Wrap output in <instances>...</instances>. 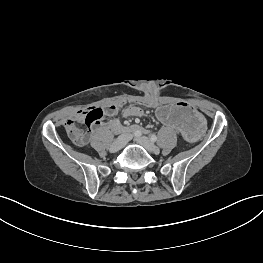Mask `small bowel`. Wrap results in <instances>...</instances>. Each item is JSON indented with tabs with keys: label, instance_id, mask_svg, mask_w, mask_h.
<instances>
[{
	"label": "small bowel",
	"instance_id": "small-bowel-1",
	"mask_svg": "<svg viewBox=\"0 0 263 263\" xmlns=\"http://www.w3.org/2000/svg\"><path fill=\"white\" fill-rule=\"evenodd\" d=\"M120 111V106L116 108V110L111 114L112 116L116 115L118 112ZM122 114L123 116L125 117H141L143 116L144 114V111L138 107V106H135V105H129L125 108H123L122 110ZM83 115V111L81 112H78L77 114H75L74 118L79 120L81 119Z\"/></svg>",
	"mask_w": 263,
	"mask_h": 263
}]
</instances>
